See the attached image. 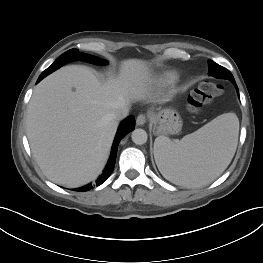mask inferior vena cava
I'll return each instance as SVG.
<instances>
[{
  "label": "inferior vena cava",
  "instance_id": "obj_1",
  "mask_svg": "<svg viewBox=\"0 0 263 263\" xmlns=\"http://www.w3.org/2000/svg\"><path fill=\"white\" fill-rule=\"evenodd\" d=\"M128 112H129L128 106L122 105L120 108H118L117 110L112 112L111 117L114 120L120 121V120L124 119L125 117H127Z\"/></svg>",
  "mask_w": 263,
  "mask_h": 263
}]
</instances>
